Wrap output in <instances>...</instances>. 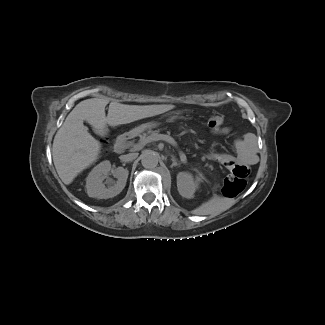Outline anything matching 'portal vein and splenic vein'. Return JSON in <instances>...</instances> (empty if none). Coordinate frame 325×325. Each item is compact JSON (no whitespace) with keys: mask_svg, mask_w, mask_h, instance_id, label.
<instances>
[{"mask_svg":"<svg viewBox=\"0 0 325 325\" xmlns=\"http://www.w3.org/2000/svg\"><path fill=\"white\" fill-rule=\"evenodd\" d=\"M157 140H166V141H169L170 143L174 144L175 146L177 145L176 141L172 138V137H169L167 135H164V134H160V135H157L156 137ZM154 140V138H148V140L146 141H143L142 143H138L136 144L134 147L136 149H140L141 147H143L146 143L150 142ZM180 158L182 161H186V156L185 154L181 153L180 154Z\"/></svg>","mask_w":325,"mask_h":325,"instance_id":"obj_1","label":"portal vein and splenic vein"}]
</instances>
